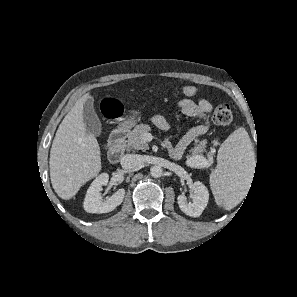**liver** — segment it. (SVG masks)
Masks as SVG:
<instances>
[{"label":"liver","instance_id":"1","mask_svg":"<svg viewBox=\"0 0 297 297\" xmlns=\"http://www.w3.org/2000/svg\"><path fill=\"white\" fill-rule=\"evenodd\" d=\"M89 94L83 95L64 117L50 151V178L58 196L68 200L101 170L100 147L87 132L83 109Z\"/></svg>","mask_w":297,"mask_h":297}]
</instances>
